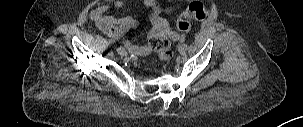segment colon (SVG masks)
Here are the masks:
<instances>
[{
    "instance_id": "5ec220e1",
    "label": "colon",
    "mask_w": 303,
    "mask_h": 127,
    "mask_svg": "<svg viewBox=\"0 0 303 127\" xmlns=\"http://www.w3.org/2000/svg\"><path fill=\"white\" fill-rule=\"evenodd\" d=\"M207 16L206 7L200 2L190 3L177 19L176 27L179 32L184 33L190 29V21H202ZM178 34H161L149 39V47L157 53L161 61H168L172 52L170 49L171 40L178 39Z\"/></svg>"
}]
</instances>
